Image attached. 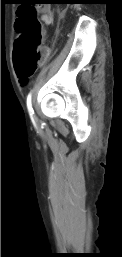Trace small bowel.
I'll use <instances>...</instances> for the list:
<instances>
[{"instance_id": "c3829d8e", "label": "small bowel", "mask_w": 122, "mask_h": 257, "mask_svg": "<svg viewBox=\"0 0 122 257\" xmlns=\"http://www.w3.org/2000/svg\"><path fill=\"white\" fill-rule=\"evenodd\" d=\"M40 11H41V19H42V21L45 24H47V25L51 24L53 22V14L50 11V9L47 8V7H44ZM48 54H49V49L48 48H44L43 51H42V55H43L42 59L46 58L48 56ZM19 78H20V80L22 82H25L26 79H27L25 77H20V76H19Z\"/></svg>"}]
</instances>
